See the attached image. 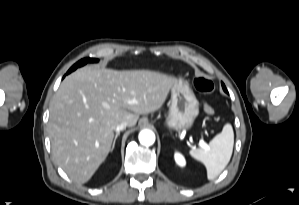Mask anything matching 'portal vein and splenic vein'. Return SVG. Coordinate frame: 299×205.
<instances>
[{
  "mask_svg": "<svg viewBox=\"0 0 299 205\" xmlns=\"http://www.w3.org/2000/svg\"><path fill=\"white\" fill-rule=\"evenodd\" d=\"M202 145L205 147V148H207L208 146H207V144H205L204 142L202 143Z\"/></svg>",
  "mask_w": 299,
  "mask_h": 205,
  "instance_id": "obj_1",
  "label": "portal vein and splenic vein"
}]
</instances>
